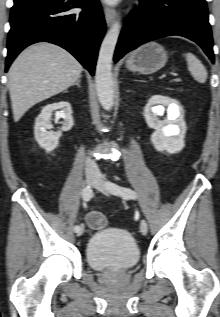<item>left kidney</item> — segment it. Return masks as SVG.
<instances>
[{"mask_svg":"<svg viewBox=\"0 0 220 317\" xmlns=\"http://www.w3.org/2000/svg\"><path fill=\"white\" fill-rule=\"evenodd\" d=\"M167 106V118L160 120ZM147 125L154 129L151 142L157 151L168 153L180 152L184 146L186 125L181 115L179 105L171 98L163 95H153L144 108Z\"/></svg>","mask_w":220,"mask_h":317,"instance_id":"5707ae66","label":"left kidney"}]
</instances>
